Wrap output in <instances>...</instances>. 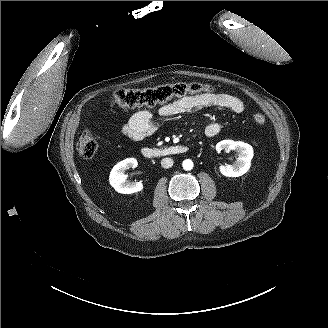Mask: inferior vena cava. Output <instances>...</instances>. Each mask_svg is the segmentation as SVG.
<instances>
[{
	"mask_svg": "<svg viewBox=\"0 0 328 328\" xmlns=\"http://www.w3.org/2000/svg\"><path fill=\"white\" fill-rule=\"evenodd\" d=\"M173 159L172 158H163L162 160H161V166L163 167V168H171L172 167V165H173Z\"/></svg>",
	"mask_w": 328,
	"mask_h": 328,
	"instance_id": "1",
	"label": "inferior vena cava"
}]
</instances>
